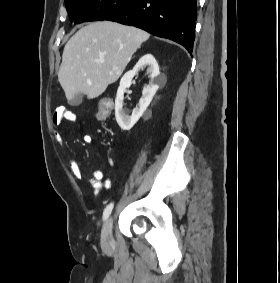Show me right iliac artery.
<instances>
[{"label": "right iliac artery", "mask_w": 280, "mask_h": 283, "mask_svg": "<svg viewBox=\"0 0 280 283\" xmlns=\"http://www.w3.org/2000/svg\"><path fill=\"white\" fill-rule=\"evenodd\" d=\"M113 206H114V203H110V204L107 205V207L105 208L104 213H103V220H104V221H106V220L108 219L109 215H110L111 212H112Z\"/></svg>", "instance_id": "1"}]
</instances>
